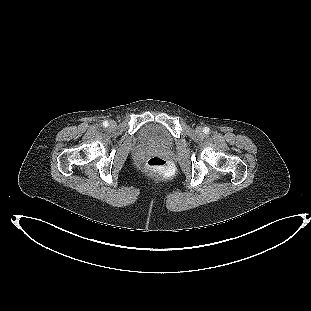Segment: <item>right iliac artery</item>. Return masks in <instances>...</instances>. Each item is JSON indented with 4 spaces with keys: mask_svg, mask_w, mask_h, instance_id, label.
<instances>
[{
    "mask_svg": "<svg viewBox=\"0 0 311 311\" xmlns=\"http://www.w3.org/2000/svg\"><path fill=\"white\" fill-rule=\"evenodd\" d=\"M103 126H104V127H107V126H108V121H104V122H103Z\"/></svg>",
    "mask_w": 311,
    "mask_h": 311,
    "instance_id": "1",
    "label": "right iliac artery"
}]
</instances>
